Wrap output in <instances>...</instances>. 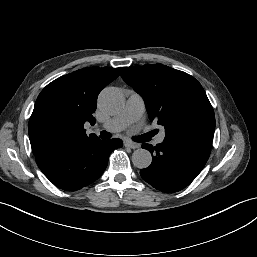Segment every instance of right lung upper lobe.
<instances>
[{
	"mask_svg": "<svg viewBox=\"0 0 257 257\" xmlns=\"http://www.w3.org/2000/svg\"><path fill=\"white\" fill-rule=\"evenodd\" d=\"M120 68H84L61 76L39 94L29 120V138L36 160L84 143V123H95L93 113L101 90L119 76Z\"/></svg>",
	"mask_w": 257,
	"mask_h": 257,
	"instance_id": "1",
	"label": "right lung upper lobe"
}]
</instances>
